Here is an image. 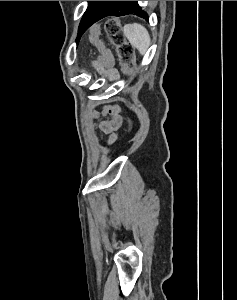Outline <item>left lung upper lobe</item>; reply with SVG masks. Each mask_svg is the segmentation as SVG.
Returning <instances> with one entry per match:
<instances>
[{
	"mask_svg": "<svg viewBox=\"0 0 237 300\" xmlns=\"http://www.w3.org/2000/svg\"><path fill=\"white\" fill-rule=\"evenodd\" d=\"M109 3V1H88V7L85 11L82 20L79 25L78 35L76 42L79 43V40L83 33L89 28L90 23L98 17L104 7ZM127 7L129 10H132L133 14L138 15L146 20H148L147 13L144 12L141 7L138 5L137 1H126Z\"/></svg>",
	"mask_w": 237,
	"mask_h": 300,
	"instance_id": "1",
	"label": "left lung upper lobe"
}]
</instances>
